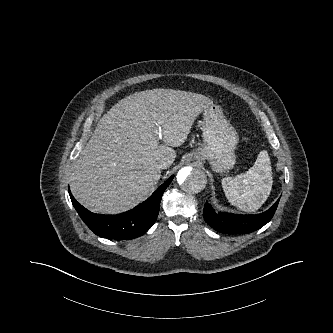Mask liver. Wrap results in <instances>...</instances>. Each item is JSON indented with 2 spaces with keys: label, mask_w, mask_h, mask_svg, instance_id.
<instances>
[{
  "label": "liver",
  "mask_w": 333,
  "mask_h": 333,
  "mask_svg": "<svg viewBox=\"0 0 333 333\" xmlns=\"http://www.w3.org/2000/svg\"><path fill=\"white\" fill-rule=\"evenodd\" d=\"M212 104L204 95L173 89L136 92L120 100L100 119L74 162L72 195L95 213L132 209L154 191L161 177L157 161L172 165V147L186 141L195 119Z\"/></svg>",
  "instance_id": "obj_1"
}]
</instances>
